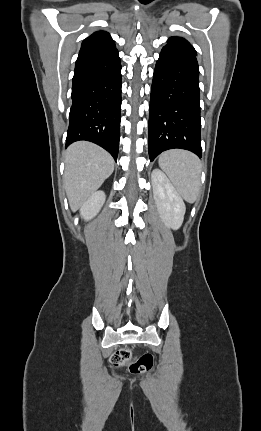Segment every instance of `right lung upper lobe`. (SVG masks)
Here are the masks:
<instances>
[{
	"instance_id": "cb5924a9",
	"label": "right lung upper lobe",
	"mask_w": 261,
	"mask_h": 431,
	"mask_svg": "<svg viewBox=\"0 0 261 431\" xmlns=\"http://www.w3.org/2000/svg\"><path fill=\"white\" fill-rule=\"evenodd\" d=\"M110 49H115V43L110 34L105 31H97L83 41L80 52Z\"/></svg>"
}]
</instances>
